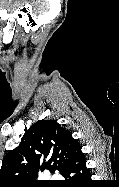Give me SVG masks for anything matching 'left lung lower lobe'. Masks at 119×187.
<instances>
[{"label":"left lung lower lobe","mask_w":119,"mask_h":187,"mask_svg":"<svg viewBox=\"0 0 119 187\" xmlns=\"http://www.w3.org/2000/svg\"><path fill=\"white\" fill-rule=\"evenodd\" d=\"M63 176L73 182H87L90 178V172L86 167L85 157L79 144L74 146Z\"/></svg>","instance_id":"1"}]
</instances>
